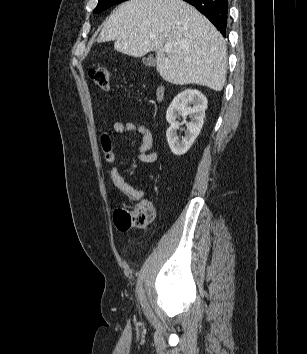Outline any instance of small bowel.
Returning a JSON list of instances; mask_svg holds the SVG:
<instances>
[{
	"instance_id": "obj_1",
	"label": "small bowel",
	"mask_w": 307,
	"mask_h": 354,
	"mask_svg": "<svg viewBox=\"0 0 307 354\" xmlns=\"http://www.w3.org/2000/svg\"><path fill=\"white\" fill-rule=\"evenodd\" d=\"M116 133L122 134L127 132L137 133L141 136V145L139 147V159L144 163H153L158 159L159 153L153 150V135L151 131L143 124L133 121H116L112 125ZM102 145L106 153V159L113 166L110 170V177L113 184L126 196L135 201H143L145 192L138 190L126 182L120 174L118 167L115 165L116 157L111 151V141L107 134L102 135ZM153 212V208H152Z\"/></svg>"
}]
</instances>
